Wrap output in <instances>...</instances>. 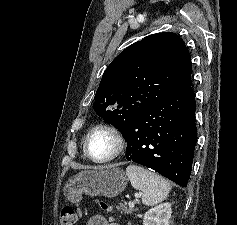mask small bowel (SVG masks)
<instances>
[{
  "instance_id": "c3829d8e",
  "label": "small bowel",
  "mask_w": 237,
  "mask_h": 225,
  "mask_svg": "<svg viewBox=\"0 0 237 225\" xmlns=\"http://www.w3.org/2000/svg\"><path fill=\"white\" fill-rule=\"evenodd\" d=\"M87 225H119V224L109 221L102 215H95L88 220Z\"/></svg>"
}]
</instances>
